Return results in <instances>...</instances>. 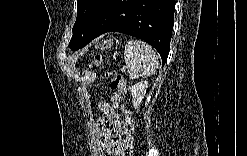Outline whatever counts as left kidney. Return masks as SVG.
<instances>
[{
	"mask_svg": "<svg viewBox=\"0 0 247 156\" xmlns=\"http://www.w3.org/2000/svg\"><path fill=\"white\" fill-rule=\"evenodd\" d=\"M148 88L147 81L136 83L130 88L132 95V102L135 109H138Z\"/></svg>",
	"mask_w": 247,
	"mask_h": 156,
	"instance_id": "obj_1",
	"label": "left kidney"
}]
</instances>
